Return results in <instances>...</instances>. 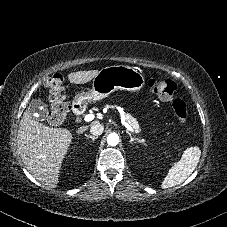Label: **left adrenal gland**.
<instances>
[{
  "mask_svg": "<svg viewBox=\"0 0 227 227\" xmlns=\"http://www.w3.org/2000/svg\"><path fill=\"white\" fill-rule=\"evenodd\" d=\"M126 133H127V134L129 135V137H130V143H132V144L135 143V140H136V139H134V138L132 137L131 133H130L128 130L126 131Z\"/></svg>",
  "mask_w": 227,
  "mask_h": 227,
  "instance_id": "a2214340",
  "label": "left adrenal gland"
}]
</instances>
